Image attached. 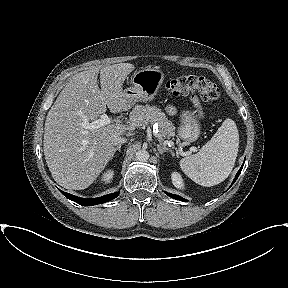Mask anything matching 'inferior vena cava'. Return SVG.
<instances>
[{
	"label": "inferior vena cava",
	"mask_w": 288,
	"mask_h": 288,
	"mask_svg": "<svg viewBox=\"0 0 288 288\" xmlns=\"http://www.w3.org/2000/svg\"><path fill=\"white\" fill-rule=\"evenodd\" d=\"M125 142H126V139H125L124 137L115 136V137L113 138V143H114L115 145H120V144L125 143Z\"/></svg>",
	"instance_id": "inferior-vena-cava-1"
}]
</instances>
